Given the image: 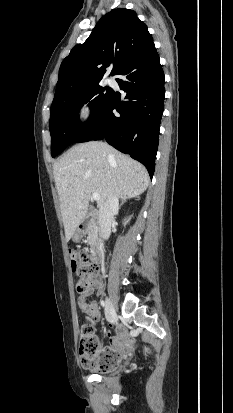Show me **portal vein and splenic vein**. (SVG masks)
Listing matches in <instances>:
<instances>
[{
  "label": "portal vein and splenic vein",
  "mask_w": 233,
  "mask_h": 413,
  "mask_svg": "<svg viewBox=\"0 0 233 413\" xmlns=\"http://www.w3.org/2000/svg\"><path fill=\"white\" fill-rule=\"evenodd\" d=\"M92 199L95 200V201H99V200H100V194H98V193H93V194H92Z\"/></svg>",
  "instance_id": "obj_1"
}]
</instances>
